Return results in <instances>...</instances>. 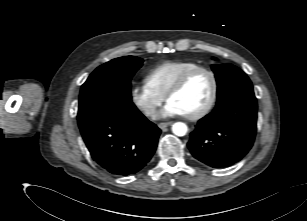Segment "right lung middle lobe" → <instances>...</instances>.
<instances>
[{"label":"right lung middle lobe","instance_id":"1","mask_svg":"<svg viewBox=\"0 0 307 221\" xmlns=\"http://www.w3.org/2000/svg\"><path fill=\"white\" fill-rule=\"evenodd\" d=\"M135 56L113 59L99 66L82 85L79 97L78 124L82 128L103 115H118L135 109L130 80L142 66Z\"/></svg>","mask_w":307,"mask_h":221}]
</instances>
